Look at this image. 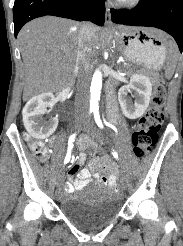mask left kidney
Here are the masks:
<instances>
[{"mask_svg":"<svg viewBox=\"0 0 183 246\" xmlns=\"http://www.w3.org/2000/svg\"><path fill=\"white\" fill-rule=\"evenodd\" d=\"M133 91L134 103L128 98V93ZM152 95V83L142 74H133L130 82L118 91V100L123 114L129 119L141 117L149 106Z\"/></svg>","mask_w":183,"mask_h":246,"instance_id":"1","label":"left kidney"}]
</instances>
